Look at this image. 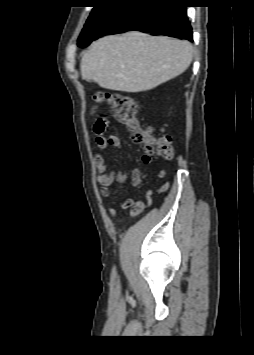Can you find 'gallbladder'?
<instances>
[{"mask_svg": "<svg viewBox=\"0 0 254 355\" xmlns=\"http://www.w3.org/2000/svg\"><path fill=\"white\" fill-rule=\"evenodd\" d=\"M87 81H88V82H91V79H88Z\"/></svg>", "mask_w": 254, "mask_h": 355, "instance_id": "obj_1", "label": "gallbladder"}]
</instances>
